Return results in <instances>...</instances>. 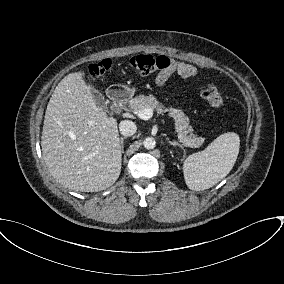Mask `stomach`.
Here are the masks:
<instances>
[{"label": "stomach", "instance_id": "0dacf381", "mask_svg": "<svg viewBox=\"0 0 284 284\" xmlns=\"http://www.w3.org/2000/svg\"><path fill=\"white\" fill-rule=\"evenodd\" d=\"M128 91H135V88H132V89H130V88H126Z\"/></svg>", "mask_w": 284, "mask_h": 284}]
</instances>
